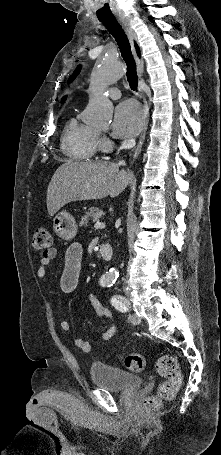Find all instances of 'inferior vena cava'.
<instances>
[{
	"label": "inferior vena cava",
	"mask_w": 221,
	"mask_h": 455,
	"mask_svg": "<svg viewBox=\"0 0 221 455\" xmlns=\"http://www.w3.org/2000/svg\"><path fill=\"white\" fill-rule=\"evenodd\" d=\"M119 164L120 165H125V162L124 161H120Z\"/></svg>",
	"instance_id": "inferior-vena-cava-1"
}]
</instances>
